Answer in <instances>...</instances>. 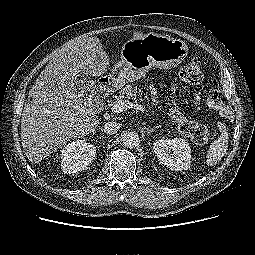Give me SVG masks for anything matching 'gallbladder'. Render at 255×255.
I'll return each instance as SVG.
<instances>
[{
  "label": "gallbladder",
  "instance_id": "obj_1",
  "mask_svg": "<svg viewBox=\"0 0 255 255\" xmlns=\"http://www.w3.org/2000/svg\"><path fill=\"white\" fill-rule=\"evenodd\" d=\"M76 88L86 97H97L96 83L88 74L80 71L75 76ZM95 94V95H94Z\"/></svg>",
  "mask_w": 255,
  "mask_h": 255
}]
</instances>
